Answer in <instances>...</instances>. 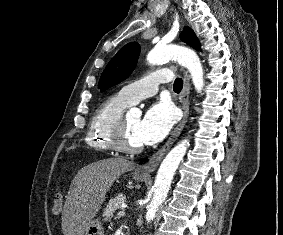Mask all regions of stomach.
Masks as SVG:
<instances>
[{
    "label": "stomach",
    "mask_w": 283,
    "mask_h": 235,
    "mask_svg": "<svg viewBox=\"0 0 283 235\" xmlns=\"http://www.w3.org/2000/svg\"><path fill=\"white\" fill-rule=\"evenodd\" d=\"M132 177L138 182H142L146 179L145 175L139 174L136 171L132 174ZM85 235H104V230L101 221L99 219L91 220L85 230Z\"/></svg>",
    "instance_id": "1"
}]
</instances>
